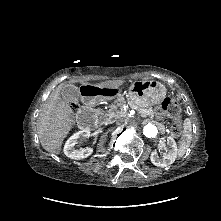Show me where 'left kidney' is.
Returning <instances> with one entry per match:
<instances>
[{
    "mask_svg": "<svg viewBox=\"0 0 221 221\" xmlns=\"http://www.w3.org/2000/svg\"><path fill=\"white\" fill-rule=\"evenodd\" d=\"M165 143H167L168 149L166 150V153H164L163 158H160L156 151H153L150 156L151 162L155 166L161 167V168L167 167L171 165L172 163H174L178 155L177 144L172 137H167L166 140H163L161 142V145L165 146Z\"/></svg>",
    "mask_w": 221,
    "mask_h": 221,
    "instance_id": "obj_1",
    "label": "left kidney"
}]
</instances>
